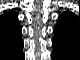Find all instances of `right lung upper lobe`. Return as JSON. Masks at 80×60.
Masks as SVG:
<instances>
[{"instance_id":"obj_1","label":"right lung upper lobe","mask_w":80,"mask_h":60,"mask_svg":"<svg viewBox=\"0 0 80 60\" xmlns=\"http://www.w3.org/2000/svg\"><path fill=\"white\" fill-rule=\"evenodd\" d=\"M0 49L16 51L23 43L16 13L11 10L0 18Z\"/></svg>"}]
</instances>
